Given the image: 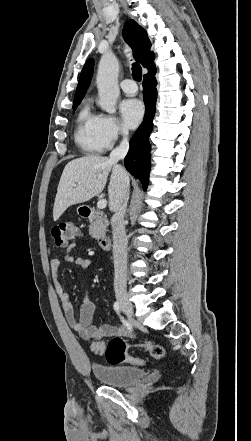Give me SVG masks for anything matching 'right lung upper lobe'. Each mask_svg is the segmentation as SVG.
Instances as JSON below:
<instances>
[{
	"instance_id": "cb5924a9",
	"label": "right lung upper lobe",
	"mask_w": 251,
	"mask_h": 441,
	"mask_svg": "<svg viewBox=\"0 0 251 441\" xmlns=\"http://www.w3.org/2000/svg\"><path fill=\"white\" fill-rule=\"evenodd\" d=\"M123 36L125 41L132 47L136 60L148 69V73L156 70L153 64L154 54L150 52L151 42L146 31L136 21L131 19L124 25ZM93 67L94 60H87L81 71L74 102L82 100L85 96L91 82Z\"/></svg>"
}]
</instances>
